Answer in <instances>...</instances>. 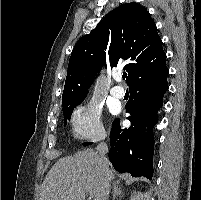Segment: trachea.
<instances>
[{
  "mask_svg": "<svg viewBox=\"0 0 201 200\" xmlns=\"http://www.w3.org/2000/svg\"><path fill=\"white\" fill-rule=\"evenodd\" d=\"M123 79H125L127 77V74L126 73H123Z\"/></svg>",
  "mask_w": 201,
  "mask_h": 200,
  "instance_id": "1",
  "label": "trachea"
}]
</instances>
